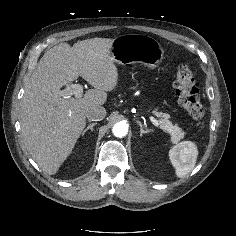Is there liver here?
<instances>
[{"label":"liver","instance_id":"liver-1","mask_svg":"<svg viewBox=\"0 0 236 236\" xmlns=\"http://www.w3.org/2000/svg\"><path fill=\"white\" fill-rule=\"evenodd\" d=\"M113 39L92 38L72 47L60 43L38 62L26 86L20 109L24 144L33 160L49 175L72 152L86 125V113L103 105L118 83L111 57ZM81 76L94 89L82 98H63L62 86Z\"/></svg>","mask_w":236,"mask_h":236}]
</instances>
